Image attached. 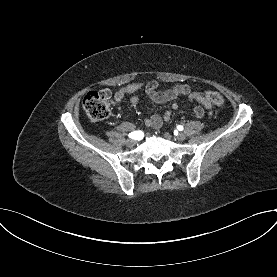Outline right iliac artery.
Wrapping results in <instances>:
<instances>
[{
	"label": "right iliac artery",
	"instance_id": "right-iliac-artery-1",
	"mask_svg": "<svg viewBox=\"0 0 277 277\" xmlns=\"http://www.w3.org/2000/svg\"><path fill=\"white\" fill-rule=\"evenodd\" d=\"M128 136L132 139H141L144 136V134L142 131H135L130 133Z\"/></svg>",
	"mask_w": 277,
	"mask_h": 277
}]
</instances>
